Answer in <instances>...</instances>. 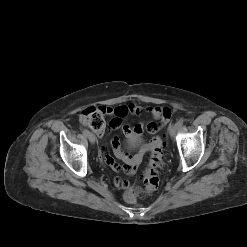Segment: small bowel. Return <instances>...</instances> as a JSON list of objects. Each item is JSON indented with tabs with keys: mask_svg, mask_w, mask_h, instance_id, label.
<instances>
[{
	"mask_svg": "<svg viewBox=\"0 0 247 247\" xmlns=\"http://www.w3.org/2000/svg\"><path fill=\"white\" fill-rule=\"evenodd\" d=\"M103 109L105 110L106 115L110 117V121H109L110 128L111 129L122 128L124 135L128 138L139 137L142 135L144 130H147L151 134H156L160 128H162L169 122L171 115V112L167 107H162V106L143 107L135 103L117 106L114 108L103 107ZM144 112L150 114L154 118V121L146 125H144V123H139L133 127L123 124V119L128 114L140 115ZM160 142H161L160 138L156 136L154 137L150 145L143 146L139 151V153L135 155H131L122 150L119 140L117 138H112L109 141V144L107 143L103 144L102 153L106 164L111 169L117 172L124 171L132 175L136 172V166L140 163L143 153L149 148V146L153 147L156 143H160ZM109 146L112 148L114 155L118 159H121L124 162L123 165L118 164L114 160V158L110 155ZM114 184L117 188L120 189L129 188V182L126 179L120 177H116L114 179Z\"/></svg>",
	"mask_w": 247,
	"mask_h": 247,
	"instance_id": "c3829d8e",
	"label": "small bowel"
}]
</instances>
